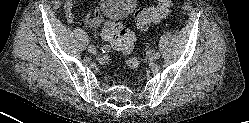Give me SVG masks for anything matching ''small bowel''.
Segmentation results:
<instances>
[{"mask_svg": "<svg viewBox=\"0 0 249 123\" xmlns=\"http://www.w3.org/2000/svg\"><path fill=\"white\" fill-rule=\"evenodd\" d=\"M74 1L75 0H64L65 17L67 21L71 24L75 22V17L73 14ZM100 15L101 11L99 7H96L94 9L90 7L86 16L83 19V22L90 27H96L99 24Z\"/></svg>", "mask_w": 249, "mask_h": 123, "instance_id": "obj_1", "label": "small bowel"}]
</instances>
